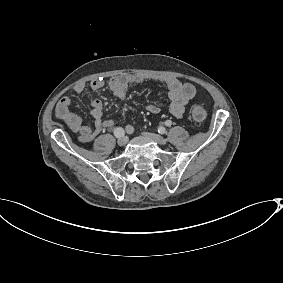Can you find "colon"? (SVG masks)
Listing matches in <instances>:
<instances>
[{"label":"colon","instance_id":"colon-1","mask_svg":"<svg viewBox=\"0 0 283 283\" xmlns=\"http://www.w3.org/2000/svg\"><path fill=\"white\" fill-rule=\"evenodd\" d=\"M191 115L194 120L196 121H202L206 118L207 116V111L204 106L202 105H194L192 110H191Z\"/></svg>","mask_w":283,"mask_h":283}]
</instances>
